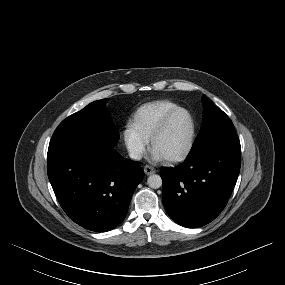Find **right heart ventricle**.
I'll return each instance as SVG.
<instances>
[{
	"instance_id": "e07e8e85",
	"label": "right heart ventricle",
	"mask_w": 285,
	"mask_h": 285,
	"mask_svg": "<svg viewBox=\"0 0 285 285\" xmlns=\"http://www.w3.org/2000/svg\"><path fill=\"white\" fill-rule=\"evenodd\" d=\"M177 107V103L167 99L145 103L133 113L130 124L148 141L163 117Z\"/></svg>"
}]
</instances>
